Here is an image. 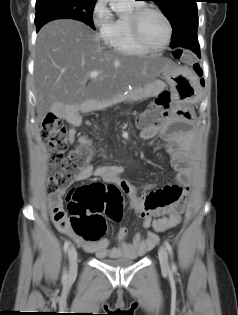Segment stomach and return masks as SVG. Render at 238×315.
I'll return each mask as SVG.
<instances>
[{
	"mask_svg": "<svg viewBox=\"0 0 238 315\" xmlns=\"http://www.w3.org/2000/svg\"><path fill=\"white\" fill-rule=\"evenodd\" d=\"M166 67L158 76L166 80L175 93V102H172V115L177 116L179 122H195L198 109L193 105L201 99V87L195 86V73L178 72L177 67L169 59L162 58Z\"/></svg>",
	"mask_w": 238,
	"mask_h": 315,
	"instance_id": "stomach-1",
	"label": "stomach"
}]
</instances>
